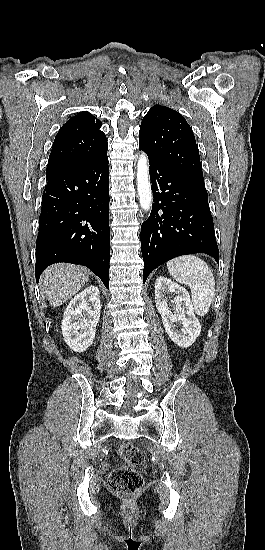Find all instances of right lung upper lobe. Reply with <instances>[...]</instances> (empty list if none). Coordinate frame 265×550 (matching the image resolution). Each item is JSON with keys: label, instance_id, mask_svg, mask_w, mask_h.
Instances as JSON below:
<instances>
[{"label": "right lung upper lobe", "instance_id": "right-lung-upper-lobe-1", "mask_svg": "<svg viewBox=\"0 0 265 550\" xmlns=\"http://www.w3.org/2000/svg\"><path fill=\"white\" fill-rule=\"evenodd\" d=\"M102 122L87 111L69 119L55 137L46 174L60 167L92 161L107 153Z\"/></svg>", "mask_w": 265, "mask_h": 550}]
</instances>
